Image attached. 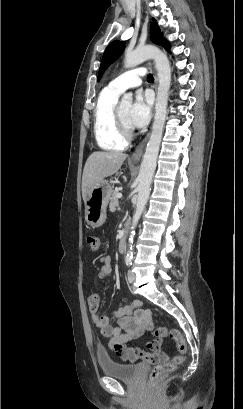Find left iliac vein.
<instances>
[{
	"instance_id": "obj_1",
	"label": "left iliac vein",
	"mask_w": 243,
	"mask_h": 409,
	"mask_svg": "<svg viewBox=\"0 0 243 409\" xmlns=\"http://www.w3.org/2000/svg\"><path fill=\"white\" fill-rule=\"evenodd\" d=\"M135 278H136L135 273L132 270H129L128 271V281L132 283L135 281Z\"/></svg>"
}]
</instances>
